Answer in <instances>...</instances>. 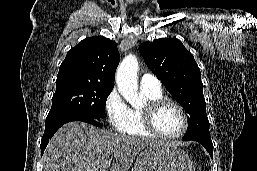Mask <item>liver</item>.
Instances as JSON below:
<instances>
[{
  "label": "liver",
  "instance_id": "liver-1",
  "mask_svg": "<svg viewBox=\"0 0 257 171\" xmlns=\"http://www.w3.org/2000/svg\"><path fill=\"white\" fill-rule=\"evenodd\" d=\"M153 140L117 134L84 122H69L52 137L44 152V171H128ZM176 145L174 142H167Z\"/></svg>",
  "mask_w": 257,
  "mask_h": 171
}]
</instances>
